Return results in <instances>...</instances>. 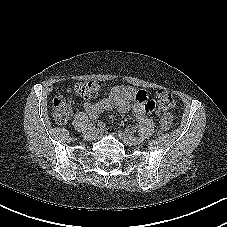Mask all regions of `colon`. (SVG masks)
Segmentation results:
<instances>
[{
  "instance_id": "obj_1",
  "label": "colon",
  "mask_w": 227,
  "mask_h": 227,
  "mask_svg": "<svg viewBox=\"0 0 227 227\" xmlns=\"http://www.w3.org/2000/svg\"><path fill=\"white\" fill-rule=\"evenodd\" d=\"M101 85L96 81H80L70 90L71 93L86 99L94 98L100 91ZM156 104L163 110H169L175 107L176 101L173 96L164 90H159L155 94ZM71 99L58 94L52 102L53 118L58 124H65L72 113ZM155 104V102H154ZM172 126V117L166 113L162 116L159 127L162 132L170 129Z\"/></svg>"
}]
</instances>
